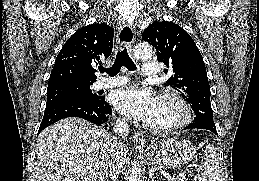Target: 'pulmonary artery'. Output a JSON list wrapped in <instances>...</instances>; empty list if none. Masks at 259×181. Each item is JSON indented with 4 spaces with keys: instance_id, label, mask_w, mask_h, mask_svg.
Masks as SVG:
<instances>
[{
    "instance_id": "pulmonary-artery-1",
    "label": "pulmonary artery",
    "mask_w": 259,
    "mask_h": 181,
    "mask_svg": "<svg viewBox=\"0 0 259 181\" xmlns=\"http://www.w3.org/2000/svg\"><path fill=\"white\" fill-rule=\"evenodd\" d=\"M159 72V67L157 63L147 62L143 66V74L145 76H156ZM128 82L127 78L123 76L115 77L112 79H103L99 81L100 88H112L116 86H120L126 84Z\"/></svg>"
}]
</instances>
